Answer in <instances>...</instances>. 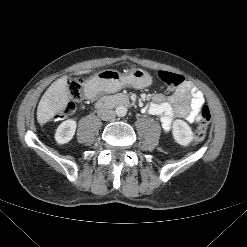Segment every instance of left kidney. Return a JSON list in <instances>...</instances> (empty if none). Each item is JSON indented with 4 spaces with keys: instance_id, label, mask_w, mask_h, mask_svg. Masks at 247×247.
Listing matches in <instances>:
<instances>
[{
    "instance_id": "left-kidney-1",
    "label": "left kidney",
    "mask_w": 247,
    "mask_h": 247,
    "mask_svg": "<svg viewBox=\"0 0 247 247\" xmlns=\"http://www.w3.org/2000/svg\"><path fill=\"white\" fill-rule=\"evenodd\" d=\"M172 134L174 140L182 146H188L193 140V132L190 126L180 119L173 121Z\"/></svg>"
}]
</instances>
